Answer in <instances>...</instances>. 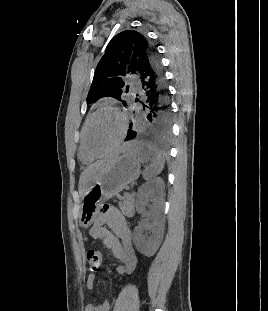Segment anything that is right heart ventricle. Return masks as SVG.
Segmentation results:
<instances>
[{
  "mask_svg": "<svg viewBox=\"0 0 268 311\" xmlns=\"http://www.w3.org/2000/svg\"><path fill=\"white\" fill-rule=\"evenodd\" d=\"M80 159L82 162L89 164L93 161L94 158L90 157L84 150L82 143L80 144V151H79Z\"/></svg>",
  "mask_w": 268,
  "mask_h": 311,
  "instance_id": "1",
  "label": "right heart ventricle"
}]
</instances>
